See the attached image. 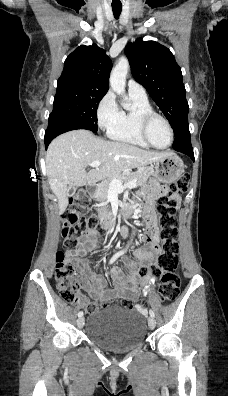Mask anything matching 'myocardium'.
<instances>
[{
  "label": "myocardium",
  "instance_id": "1",
  "mask_svg": "<svg viewBox=\"0 0 228 396\" xmlns=\"http://www.w3.org/2000/svg\"><path fill=\"white\" fill-rule=\"evenodd\" d=\"M161 119L167 126L169 132H170V142L166 147H158L156 146L149 138V125L150 123L155 119ZM138 126H139V132L143 140L152 148L158 149V150H166L168 149L173 141H174V130L169 122V120L163 116L162 114L155 112V111H149V112H143L138 115Z\"/></svg>",
  "mask_w": 228,
  "mask_h": 396
}]
</instances>
